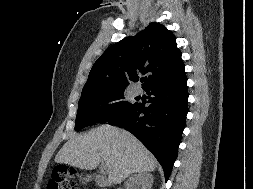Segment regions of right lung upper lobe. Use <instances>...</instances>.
<instances>
[{
  "mask_svg": "<svg viewBox=\"0 0 253 189\" xmlns=\"http://www.w3.org/2000/svg\"><path fill=\"white\" fill-rule=\"evenodd\" d=\"M176 37L165 26L150 23L135 36L110 46L93 65L82 91L101 87H127L139 73H148L146 89L185 74Z\"/></svg>",
  "mask_w": 253,
  "mask_h": 189,
  "instance_id": "cb5924a9",
  "label": "right lung upper lobe"
}]
</instances>
